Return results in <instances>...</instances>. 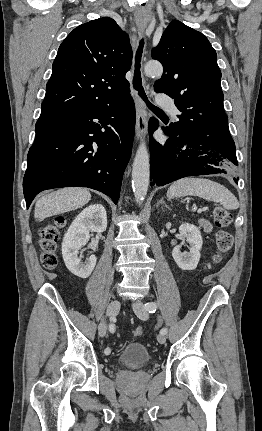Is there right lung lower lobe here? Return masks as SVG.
I'll list each match as a JSON object with an SVG mask.
<instances>
[{
	"instance_id": "1",
	"label": "right lung lower lobe",
	"mask_w": 262,
	"mask_h": 431,
	"mask_svg": "<svg viewBox=\"0 0 262 431\" xmlns=\"http://www.w3.org/2000/svg\"><path fill=\"white\" fill-rule=\"evenodd\" d=\"M134 127L129 94L96 111L41 113L23 180L27 208L39 192L69 186L98 190L116 204Z\"/></svg>"
}]
</instances>
